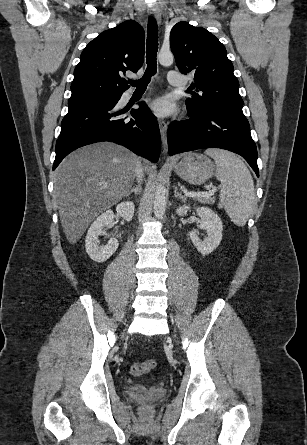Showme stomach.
<instances>
[{
    "mask_svg": "<svg viewBox=\"0 0 307 445\" xmlns=\"http://www.w3.org/2000/svg\"><path fill=\"white\" fill-rule=\"evenodd\" d=\"M216 166L211 158L204 156V154H197V152H188L178 164L175 166L180 178H184L191 184H203L209 180L214 174Z\"/></svg>",
    "mask_w": 307,
    "mask_h": 445,
    "instance_id": "stomach-1",
    "label": "stomach"
}]
</instances>
